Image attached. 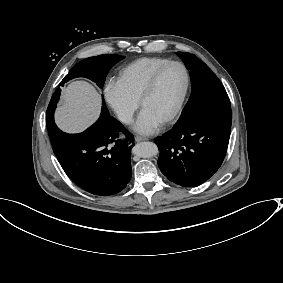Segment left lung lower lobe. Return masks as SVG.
Wrapping results in <instances>:
<instances>
[{"label": "left lung lower lobe", "mask_w": 283, "mask_h": 283, "mask_svg": "<svg viewBox=\"0 0 283 283\" xmlns=\"http://www.w3.org/2000/svg\"><path fill=\"white\" fill-rule=\"evenodd\" d=\"M232 110L202 112L154 141L158 166L167 179L183 187L208 180L221 166L230 138Z\"/></svg>", "instance_id": "1"}]
</instances>
